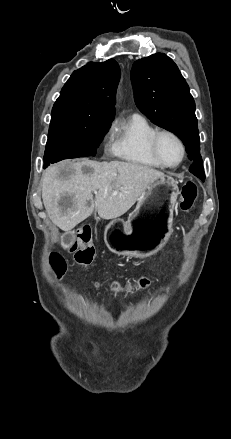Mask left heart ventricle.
<instances>
[{"mask_svg":"<svg viewBox=\"0 0 231 439\" xmlns=\"http://www.w3.org/2000/svg\"><path fill=\"white\" fill-rule=\"evenodd\" d=\"M158 150L161 158L167 164H176L181 157V148L178 142L169 135H163L158 142Z\"/></svg>","mask_w":231,"mask_h":439,"instance_id":"b2bd125f","label":"left heart ventricle"}]
</instances>
